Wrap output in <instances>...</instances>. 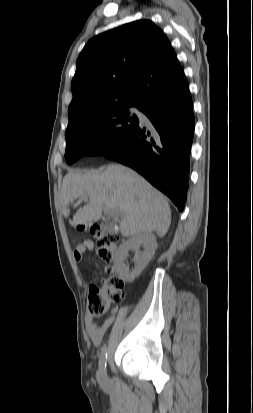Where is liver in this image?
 Masks as SVG:
<instances>
[{
    "instance_id": "6515ba94",
    "label": "liver",
    "mask_w": 253,
    "mask_h": 413,
    "mask_svg": "<svg viewBox=\"0 0 253 413\" xmlns=\"http://www.w3.org/2000/svg\"><path fill=\"white\" fill-rule=\"evenodd\" d=\"M80 197L89 201L69 220L72 226L97 222L105 207L119 212L124 237L146 232L164 237L171 224L165 197L138 173L120 164H109L101 173L69 171L60 193L64 217L68 218L69 205Z\"/></svg>"
}]
</instances>
